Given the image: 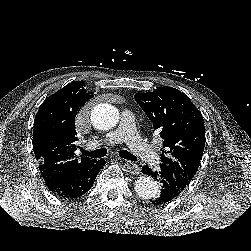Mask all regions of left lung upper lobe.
Segmentation results:
<instances>
[{
  "instance_id": "5c2ea615",
  "label": "left lung upper lobe",
  "mask_w": 251,
  "mask_h": 251,
  "mask_svg": "<svg viewBox=\"0 0 251 251\" xmlns=\"http://www.w3.org/2000/svg\"><path fill=\"white\" fill-rule=\"evenodd\" d=\"M136 102L160 131L163 148L161 164L191 181L199 167L205 145V126L201 113L179 90L160 87L137 93Z\"/></svg>"
}]
</instances>
